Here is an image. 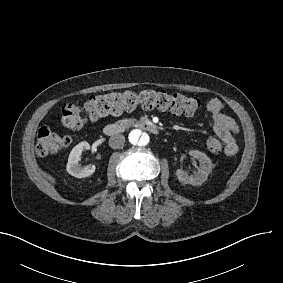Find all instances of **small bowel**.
<instances>
[{
    "label": "small bowel",
    "mask_w": 283,
    "mask_h": 283,
    "mask_svg": "<svg viewBox=\"0 0 283 283\" xmlns=\"http://www.w3.org/2000/svg\"><path fill=\"white\" fill-rule=\"evenodd\" d=\"M206 111L211 117L214 133L225 146L224 154L227 157H234L238 152L236 140L238 125L224 113V104L219 99L209 100L206 104Z\"/></svg>",
    "instance_id": "1"
}]
</instances>
